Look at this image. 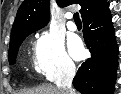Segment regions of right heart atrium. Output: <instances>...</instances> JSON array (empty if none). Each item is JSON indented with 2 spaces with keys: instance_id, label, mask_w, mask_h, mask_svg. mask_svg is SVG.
<instances>
[{
  "instance_id": "d8ad5b80",
  "label": "right heart atrium",
  "mask_w": 121,
  "mask_h": 94,
  "mask_svg": "<svg viewBox=\"0 0 121 94\" xmlns=\"http://www.w3.org/2000/svg\"><path fill=\"white\" fill-rule=\"evenodd\" d=\"M33 58L37 72L50 80L70 78L76 71L62 37L53 31H44L38 36Z\"/></svg>"
}]
</instances>
